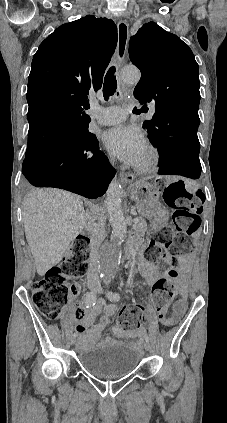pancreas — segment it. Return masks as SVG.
<instances>
[{"label":"pancreas","instance_id":"pancreas-1","mask_svg":"<svg viewBox=\"0 0 227 423\" xmlns=\"http://www.w3.org/2000/svg\"><path fill=\"white\" fill-rule=\"evenodd\" d=\"M143 215V213H142ZM142 215H139L138 219V223H137V227H139V229H142V231H145V229H147V221H145L144 217H142Z\"/></svg>","mask_w":227,"mask_h":423}]
</instances>
